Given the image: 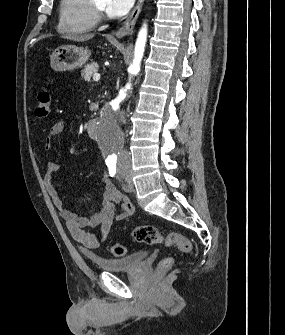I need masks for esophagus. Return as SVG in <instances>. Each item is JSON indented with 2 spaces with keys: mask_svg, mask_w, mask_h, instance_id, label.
I'll return each instance as SVG.
<instances>
[{
  "mask_svg": "<svg viewBox=\"0 0 285 335\" xmlns=\"http://www.w3.org/2000/svg\"><path fill=\"white\" fill-rule=\"evenodd\" d=\"M143 2L144 0H138L130 16L126 19L123 26L119 28V30L116 32V37L118 38L124 37L125 35H128L129 33L133 31L137 18L139 16V13L142 9Z\"/></svg>",
  "mask_w": 285,
  "mask_h": 335,
  "instance_id": "34e87169",
  "label": "esophagus"
}]
</instances>
